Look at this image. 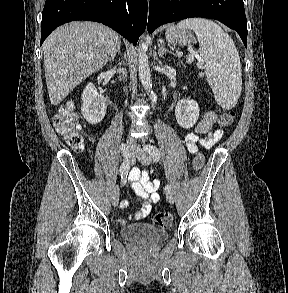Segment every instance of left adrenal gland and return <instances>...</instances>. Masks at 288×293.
<instances>
[{"label": "left adrenal gland", "mask_w": 288, "mask_h": 293, "mask_svg": "<svg viewBox=\"0 0 288 293\" xmlns=\"http://www.w3.org/2000/svg\"><path fill=\"white\" fill-rule=\"evenodd\" d=\"M166 53H171V52L164 47V44L163 43H161L159 45V49H158V55H159V57H163V55L166 54Z\"/></svg>", "instance_id": "obj_1"}]
</instances>
